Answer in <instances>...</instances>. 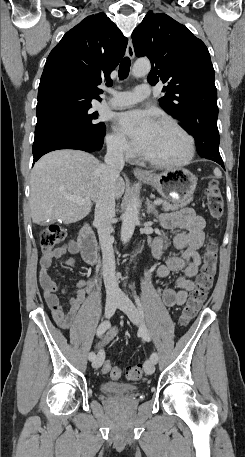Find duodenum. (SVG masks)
<instances>
[{
    "instance_id": "410a0bca",
    "label": "duodenum",
    "mask_w": 245,
    "mask_h": 457,
    "mask_svg": "<svg viewBox=\"0 0 245 457\" xmlns=\"http://www.w3.org/2000/svg\"><path fill=\"white\" fill-rule=\"evenodd\" d=\"M79 248L83 259L89 264L98 262V248L95 235L89 224H86L81 229L78 238Z\"/></svg>"
}]
</instances>
